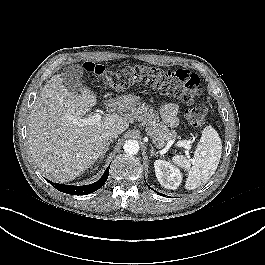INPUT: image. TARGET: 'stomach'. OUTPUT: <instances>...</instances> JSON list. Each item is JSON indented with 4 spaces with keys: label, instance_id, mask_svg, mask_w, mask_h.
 <instances>
[{
    "label": "stomach",
    "instance_id": "0dacf381",
    "mask_svg": "<svg viewBox=\"0 0 265 265\" xmlns=\"http://www.w3.org/2000/svg\"><path fill=\"white\" fill-rule=\"evenodd\" d=\"M128 99H129V110L136 107L137 104L139 103L135 97H129Z\"/></svg>",
    "mask_w": 265,
    "mask_h": 265
}]
</instances>
